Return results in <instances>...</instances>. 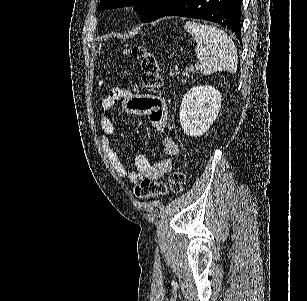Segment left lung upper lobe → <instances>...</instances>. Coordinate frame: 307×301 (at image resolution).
Wrapping results in <instances>:
<instances>
[{
  "label": "left lung upper lobe",
  "instance_id": "1",
  "mask_svg": "<svg viewBox=\"0 0 307 301\" xmlns=\"http://www.w3.org/2000/svg\"><path fill=\"white\" fill-rule=\"evenodd\" d=\"M175 0H101L98 10L134 5L142 17V22L156 20L159 15L170 6Z\"/></svg>",
  "mask_w": 307,
  "mask_h": 301
}]
</instances>
